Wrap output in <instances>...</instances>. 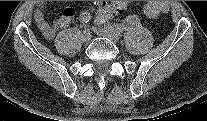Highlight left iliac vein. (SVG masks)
<instances>
[{"label": "left iliac vein", "mask_w": 207, "mask_h": 121, "mask_svg": "<svg viewBox=\"0 0 207 121\" xmlns=\"http://www.w3.org/2000/svg\"><path fill=\"white\" fill-rule=\"evenodd\" d=\"M94 32L101 36L110 39L113 42H118L121 39L120 32L112 26H106L102 28H94Z\"/></svg>", "instance_id": "left-iliac-vein-1"}]
</instances>
